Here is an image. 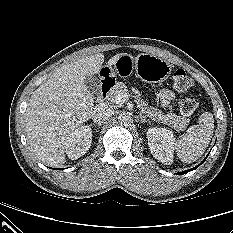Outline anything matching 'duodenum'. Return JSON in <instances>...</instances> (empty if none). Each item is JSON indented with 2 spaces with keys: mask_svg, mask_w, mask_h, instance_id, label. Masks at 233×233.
I'll list each match as a JSON object with an SVG mask.
<instances>
[{
  "mask_svg": "<svg viewBox=\"0 0 233 233\" xmlns=\"http://www.w3.org/2000/svg\"><path fill=\"white\" fill-rule=\"evenodd\" d=\"M114 84L115 80L112 77H106L102 80L100 86V95L98 98L99 102H102L107 97Z\"/></svg>",
  "mask_w": 233,
  "mask_h": 233,
  "instance_id": "duodenum-1",
  "label": "duodenum"
}]
</instances>
